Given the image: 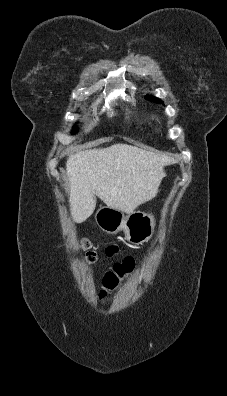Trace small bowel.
Here are the masks:
<instances>
[{
    "instance_id": "small-bowel-1",
    "label": "small bowel",
    "mask_w": 227,
    "mask_h": 396,
    "mask_svg": "<svg viewBox=\"0 0 227 396\" xmlns=\"http://www.w3.org/2000/svg\"><path fill=\"white\" fill-rule=\"evenodd\" d=\"M116 251V248L115 247H110L109 249H108V252L109 253H113V252H115Z\"/></svg>"
}]
</instances>
